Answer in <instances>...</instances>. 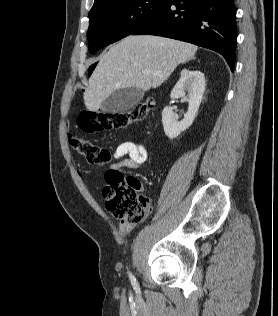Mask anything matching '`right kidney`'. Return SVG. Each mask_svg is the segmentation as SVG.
<instances>
[{"label":"right kidney","mask_w":278,"mask_h":316,"mask_svg":"<svg viewBox=\"0 0 278 316\" xmlns=\"http://www.w3.org/2000/svg\"><path fill=\"white\" fill-rule=\"evenodd\" d=\"M204 91L205 77L202 72L187 69L181 71V77L171 91L170 96L172 99H177L185 96L187 92L186 100L189 106L188 111L184 115V119L181 121L177 120L178 118L173 113L172 108L165 107L163 109L162 123L164 132L168 138L174 139L178 137L192 125L201 104Z\"/></svg>","instance_id":"right-kidney-1"}]
</instances>
